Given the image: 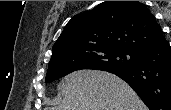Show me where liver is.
<instances>
[{
  "mask_svg": "<svg viewBox=\"0 0 171 110\" xmlns=\"http://www.w3.org/2000/svg\"><path fill=\"white\" fill-rule=\"evenodd\" d=\"M62 100L45 110H147L134 90L114 74L79 70L64 77Z\"/></svg>",
  "mask_w": 171,
  "mask_h": 110,
  "instance_id": "6515ba94",
  "label": "liver"
}]
</instances>
